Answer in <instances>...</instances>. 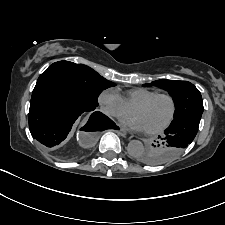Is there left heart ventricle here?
Here are the masks:
<instances>
[{"label":"left heart ventricle","mask_w":225,"mask_h":225,"mask_svg":"<svg viewBox=\"0 0 225 225\" xmlns=\"http://www.w3.org/2000/svg\"><path fill=\"white\" fill-rule=\"evenodd\" d=\"M131 113L141 120L145 130L155 129L168 120L171 114V102L161 97L145 107L132 108Z\"/></svg>","instance_id":"obj_1"}]
</instances>
